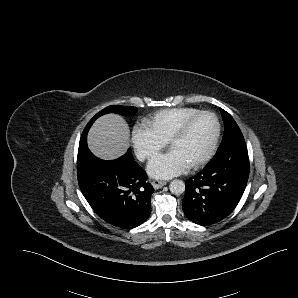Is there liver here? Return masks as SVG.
I'll list each match as a JSON object with an SVG mask.
<instances>
[{
  "mask_svg": "<svg viewBox=\"0 0 298 298\" xmlns=\"http://www.w3.org/2000/svg\"><path fill=\"white\" fill-rule=\"evenodd\" d=\"M130 131L126 121L117 114L99 117L88 133V146L99 158L113 160L122 156L129 147Z\"/></svg>",
  "mask_w": 298,
  "mask_h": 298,
  "instance_id": "6515ba94",
  "label": "liver"
}]
</instances>
